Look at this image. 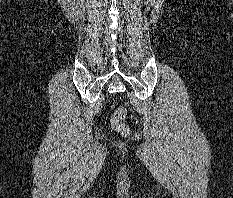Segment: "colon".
Wrapping results in <instances>:
<instances>
[{
	"label": "colon",
	"mask_w": 233,
	"mask_h": 198,
	"mask_svg": "<svg viewBox=\"0 0 233 198\" xmlns=\"http://www.w3.org/2000/svg\"><path fill=\"white\" fill-rule=\"evenodd\" d=\"M126 116L127 111L124 107L117 108L111 116L112 128L122 135H128L130 131L128 125L125 123Z\"/></svg>",
	"instance_id": "1"
}]
</instances>
